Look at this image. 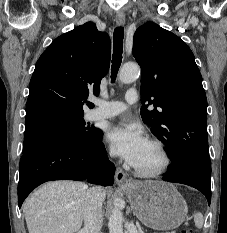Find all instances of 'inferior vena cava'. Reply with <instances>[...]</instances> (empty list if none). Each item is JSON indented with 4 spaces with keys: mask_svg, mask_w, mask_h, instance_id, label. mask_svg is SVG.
<instances>
[{
    "mask_svg": "<svg viewBox=\"0 0 227 233\" xmlns=\"http://www.w3.org/2000/svg\"><path fill=\"white\" fill-rule=\"evenodd\" d=\"M103 191L99 186L87 190L84 210V231L85 233H100L103 216L102 203Z\"/></svg>",
    "mask_w": 227,
    "mask_h": 233,
    "instance_id": "602c4592",
    "label": "inferior vena cava"
}]
</instances>
